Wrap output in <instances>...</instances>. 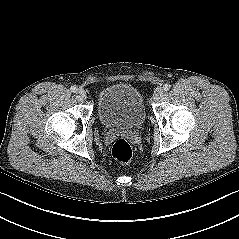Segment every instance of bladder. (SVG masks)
<instances>
[{
    "label": "bladder",
    "instance_id": "1",
    "mask_svg": "<svg viewBox=\"0 0 239 239\" xmlns=\"http://www.w3.org/2000/svg\"><path fill=\"white\" fill-rule=\"evenodd\" d=\"M145 106L141 93L126 83L111 84L99 93L98 117L107 129H133L143 124Z\"/></svg>",
    "mask_w": 239,
    "mask_h": 239
}]
</instances>
